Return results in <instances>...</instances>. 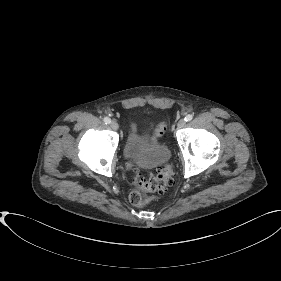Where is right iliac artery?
Wrapping results in <instances>:
<instances>
[{
	"label": "right iliac artery",
	"instance_id": "1",
	"mask_svg": "<svg viewBox=\"0 0 281 281\" xmlns=\"http://www.w3.org/2000/svg\"><path fill=\"white\" fill-rule=\"evenodd\" d=\"M104 122H105L106 124H109V123L111 122V120H110V118L105 117V118H104Z\"/></svg>",
	"mask_w": 281,
	"mask_h": 281
}]
</instances>
